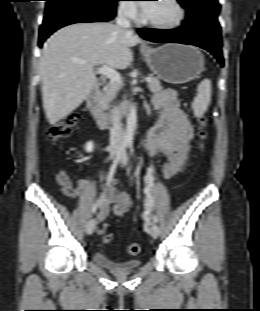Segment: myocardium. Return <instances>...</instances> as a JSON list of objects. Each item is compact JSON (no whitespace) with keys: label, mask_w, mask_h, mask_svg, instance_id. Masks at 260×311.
<instances>
[{"label":"myocardium","mask_w":260,"mask_h":311,"mask_svg":"<svg viewBox=\"0 0 260 311\" xmlns=\"http://www.w3.org/2000/svg\"><path fill=\"white\" fill-rule=\"evenodd\" d=\"M169 2L175 7L177 10V17L174 21L162 24V23H155L151 20H149L144 13L142 16V23L153 28L156 30H162V31H170L179 28L186 18V10L182 3L179 0H169Z\"/></svg>","instance_id":"myocardium-1"}]
</instances>
